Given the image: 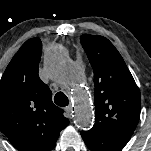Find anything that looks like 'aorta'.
<instances>
[{"instance_id": "obj_1", "label": "aorta", "mask_w": 151, "mask_h": 151, "mask_svg": "<svg viewBox=\"0 0 151 151\" xmlns=\"http://www.w3.org/2000/svg\"><path fill=\"white\" fill-rule=\"evenodd\" d=\"M48 69L56 78L75 87L71 90L74 104V117L77 125L82 129H89L94 121V114L87 92L76 84L73 65L68 61L67 55L61 46H53L48 53Z\"/></svg>"}]
</instances>
